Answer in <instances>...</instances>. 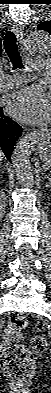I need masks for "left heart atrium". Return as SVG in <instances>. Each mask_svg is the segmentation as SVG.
<instances>
[{"label":"left heart atrium","instance_id":"39dd6f15","mask_svg":"<svg viewBox=\"0 0 51 393\" xmlns=\"http://www.w3.org/2000/svg\"><path fill=\"white\" fill-rule=\"evenodd\" d=\"M7 107L12 116L31 124L45 123L51 115L49 98L34 87H26L12 94Z\"/></svg>","mask_w":51,"mask_h":393}]
</instances>
